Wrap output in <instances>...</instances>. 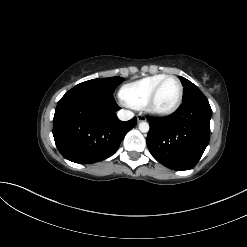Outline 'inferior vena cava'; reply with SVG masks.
I'll list each match as a JSON object with an SVG mask.
<instances>
[{
    "mask_svg": "<svg viewBox=\"0 0 247 247\" xmlns=\"http://www.w3.org/2000/svg\"><path fill=\"white\" fill-rule=\"evenodd\" d=\"M117 116L121 121H127L134 117V113L129 110L121 109L118 111Z\"/></svg>",
    "mask_w": 247,
    "mask_h": 247,
    "instance_id": "inferior-vena-cava-1",
    "label": "inferior vena cava"
}]
</instances>
